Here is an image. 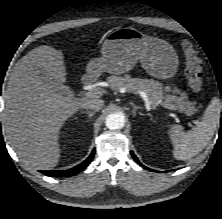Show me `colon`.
Masks as SVG:
<instances>
[{
  "mask_svg": "<svg viewBox=\"0 0 222 219\" xmlns=\"http://www.w3.org/2000/svg\"><path fill=\"white\" fill-rule=\"evenodd\" d=\"M185 56V76L190 89L200 92L203 89V75L201 61L191 42L185 41L182 44Z\"/></svg>",
  "mask_w": 222,
  "mask_h": 219,
  "instance_id": "obj_1",
  "label": "colon"
}]
</instances>
